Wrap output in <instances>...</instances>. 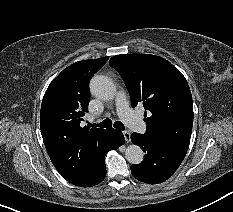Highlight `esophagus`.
Returning a JSON list of instances; mask_svg holds the SVG:
<instances>
[{
    "mask_svg": "<svg viewBox=\"0 0 233 212\" xmlns=\"http://www.w3.org/2000/svg\"><path fill=\"white\" fill-rule=\"evenodd\" d=\"M123 135H124L125 141L127 143H129L130 142V138H131V134L128 131H123Z\"/></svg>",
    "mask_w": 233,
    "mask_h": 212,
    "instance_id": "34e87169",
    "label": "esophagus"
}]
</instances>
